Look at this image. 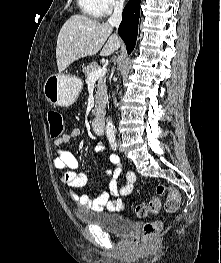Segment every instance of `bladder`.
<instances>
[{
  "instance_id": "bladder-1",
  "label": "bladder",
  "mask_w": 221,
  "mask_h": 263,
  "mask_svg": "<svg viewBox=\"0 0 221 263\" xmlns=\"http://www.w3.org/2000/svg\"><path fill=\"white\" fill-rule=\"evenodd\" d=\"M78 220L85 225H95L118 237L129 235L136 227V222L119 214H99L96 217L79 215Z\"/></svg>"
}]
</instances>
